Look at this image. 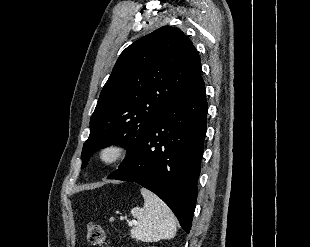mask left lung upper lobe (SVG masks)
I'll list each match as a JSON object with an SVG mask.
<instances>
[{"label":"left lung upper lobe","instance_id":"1","mask_svg":"<svg viewBox=\"0 0 310 247\" xmlns=\"http://www.w3.org/2000/svg\"><path fill=\"white\" fill-rule=\"evenodd\" d=\"M200 73L199 54L180 29L163 26L128 46L91 116L82 168L94 151L111 144L127 147L122 163L130 159L162 112Z\"/></svg>","mask_w":310,"mask_h":247}]
</instances>
